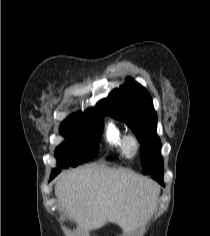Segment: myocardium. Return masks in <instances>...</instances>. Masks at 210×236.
<instances>
[{
  "mask_svg": "<svg viewBox=\"0 0 210 236\" xmlns=\"http://www.w3.org/2000/svg\"><path fill=\"white\" fill-rule=\"evenodd\" d=\"M140 149V143L137 137L133 134H127L123 140L124 154L128 158L135 157Z\"/></svg>",
  "mask_w": 210,
  "mask_h": 236,
  "instance_id": "obj_1",
  "label": "myocardium"
}]
</instances>
